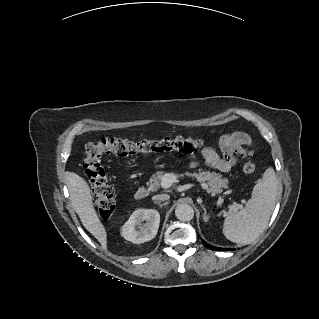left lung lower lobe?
<instances>
[{
	"instance_id": "1",
	"label": "left lung lower lobe",
	"mask_w": 319,
	"mask_h": 319,
	"mask_svg": "<svg viewBox=\"0 0 319 319\" xmlns=\"http://www.w3.org/2000/svg\"><path fill=\"white\" fill-rule=\"evenodd\" d=\"M202 243L209 249L211 250H215V251H229V250H233V249H227V248H217V247H214V246H211L209 244H207L205 241L202 240Z\"/></svg>"
}]
</instances>
